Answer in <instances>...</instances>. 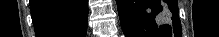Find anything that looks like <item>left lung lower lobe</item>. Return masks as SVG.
<instances>
[{
  "instance_id": "1",
  "label": "left lung lower lobe",
  "mask_w": 219,
  "mask_h": 37,
  "mask_svg": "<svg viewBox=\"0 0 219 37\" xmlns=\"http://www.w3.org/2000/svg\"><path fill=\"white\" fill-rule=\"evenodd\" d=\"M126 37H181L177 0H116Z\"/></svg>"
}]
</instances>
